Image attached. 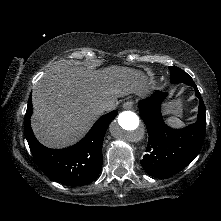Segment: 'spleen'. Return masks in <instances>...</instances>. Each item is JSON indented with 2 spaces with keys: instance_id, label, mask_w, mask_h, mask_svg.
I'll return each mask as SVG.
<instances>
[{
  "instance_id": "3e777b00",
  "label": "spleen",
  "mask_w": 221,
  "mask_h": 221,
  "mask_svg": "<svg viewBox=\"0 0 221 221\" xmlns=\"http://www.w3.org/2000/svg\"><path fill=\"white\" fill-rule=\"evenodd\" d=\"M168 123L171 124L174 127H181L183 125V122L177 118V117H170L167 119Z\"/></svg>"
}]
</instances>
